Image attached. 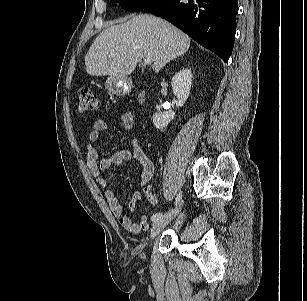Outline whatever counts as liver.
<instances>
[{
    "instance_id": "liver-1",
    "label": "liver",
    "mask_w": 307,
    "mask_h": 301,
    "mask_svg": "<svg viewBox=\"0 0 307 301\" xmlns=\"http://www.w3.org/2000/svg\"><path fill=\"white\" fill-rule=\"evenodd\" d=\"M189 47L190 37L180 29L153 15L141 14L99 34L85 56L86 72L126 77L144 57H151L153 70L159 72Z\"/></svg>"
}]
</instances>
